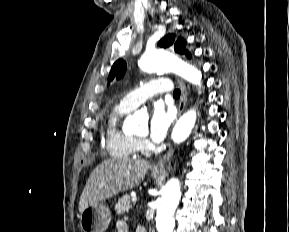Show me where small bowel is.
<instances>
[{
    "label": "small bowel",
    "mask_w": 289,
    "mask_h": 232,
    "mask_svg": "<svg viewBox=\"0 0 289 232\" xmlns=\"http://www.w3.org/2000/svg\"><path fill=\"white\" fill-rule=\"evenodd\" d=\"M116 227L117 232H129V227L124 221H118Z\"/></svg>",
    "instance_id": "1"
}]
</instances>
